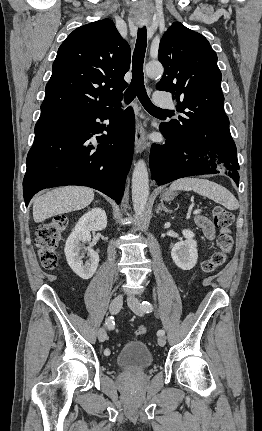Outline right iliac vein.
Wrapping results in <instances>:
<instances>
[{
	"label": "right iliac vein",
	"instance_id": "right-iliac-vein-1",
	"mask_svg": "<svg viewBox=\"0 0 262 431\" xmlns=\"http://www.w3.org/2000/svg\"><path fill=\"white\" fill-rule=\"evenodd\" d=\"M122 304H123V296L122 295L116 296L115 298L112 299V301L110 303V312L112 314H116L120 310ZM98 338H99L100 342H103L106 340L107 333H106L105 328L102 327L99 329Z\"/></svg>",
	"mask_w": 262,
	"mask_h": 431
}]
</instances>
